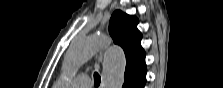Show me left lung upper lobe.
Returning a JSON list of instances; mask_svg holds the SVG:
<instances>
[{
    "mask_svg": "<svg viewBox=\"0 0 223 88\" xmlns=\"http://www.w3.org/2000/svg\"><path fill=\"white\" fill-rule=\"evenodd\" d=\"M138 19L119 10L109 22V32L114 42L120 45L126 55V69L145 65V52L140 44L142 35L137 29Z\"/></svg>",
    "mask_w": 223,
    "mask_h": 88,
    "instance_id": "left-lung-upper-lobe-1",
    "label": "left lung upper lobe"
}]
</instances>
